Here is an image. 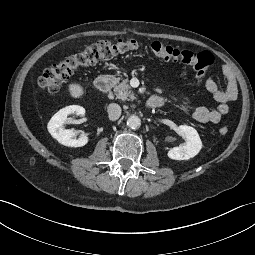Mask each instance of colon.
I'll return each mask as SVG.
<instances>
[{
  "mask_svg": "<svg viewBox=\"0 0 255 255\" xmlns=\"http://www.w3.org/2000/svg\"><path fill=\"white\" fill-rule=\"evenodd\" d=\"M140 47V44L133 39L95 42L86 46L80 52L47 68L39 78V85L42 89L55 93L68 77L82 67L113 58L118 54L137 51ZM150 50L160 60L180 62L192 66L199 83L204 82L208 70L214 63V57L209 52L195 53L187 50H178L159 41L152 42ZM219 133L226 135L228 128L226 126L220 127Z\"/></svg>",
  "mask_w": 255,
  "mask_h": 255,
  "instance_id": "1",
  "label": "colon"
}]
</instances>
